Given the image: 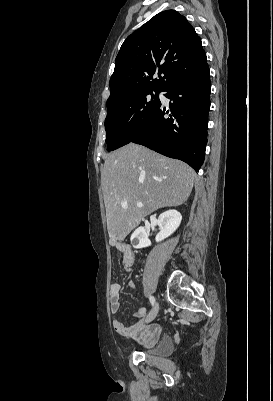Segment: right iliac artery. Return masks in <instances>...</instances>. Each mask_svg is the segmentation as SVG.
<instances>
[{"label":"right iliac artery","mask_w":273,"mask_h":401,"mask_svg":"<svg viewBox=\"0 0 273 401\" xmlns=\"http://www.w3.org/2000/svg\"><path fill=\"white\" fill-rule=\"evenodd\" d=\"M149 300H150V302H151L152 305L155 304V298H154L153 296H150V297H149Z\"/></svg>","instance_id":"obj_1"}]
</instances>
